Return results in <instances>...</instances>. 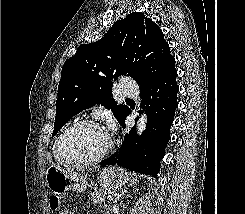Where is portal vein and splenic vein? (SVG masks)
Masks as SVG:
<instances>
[{"mask_svg":"<svg viewBox=\"0 0 245 214\" xmlns=\"http://www.w3.org/2000/svg\"><path fill=\"white\" fill-rule=\"evenodd\" d=\"M108 200H112V197L110 195L107 196Z\"/></svg>","mask_w":245,"mask_h":214,"instance_id":"obj_1","label":"portal vein and splenic vein"}]
</instances>
